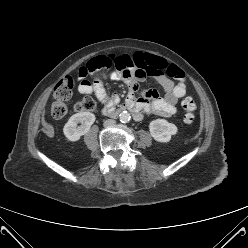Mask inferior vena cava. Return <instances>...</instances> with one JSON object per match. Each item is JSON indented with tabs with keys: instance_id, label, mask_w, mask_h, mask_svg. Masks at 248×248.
<instances>
[{
	"instance_id": "602c4592",
	"label": "inferior vena cava",
	"mask_w": 248,
	"mask_h": 248,
	"mask_svg": "<svg viewBox=\"0 0 248 248\" xmlns=\"http://www.w3.org/2000/svg\"><path fill=\"white\" fill-rule=\"evenodd\" d=\"M115 124V121L112 120V119H107L104 121V126L105 127H110V126H113Z\"/></svg>"
}]
</instances>
